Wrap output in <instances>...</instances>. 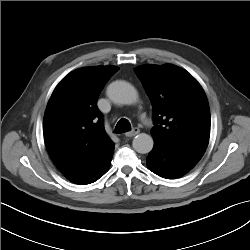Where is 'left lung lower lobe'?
Here are the masks:
<instances>
[{
	"instance_id": "0a47b994",
	"label": "left lung lower lobe",
	"mask_w": 250,
	"mask_h": 250,
	"mask_svg": "<svg viewBox=\"0 0 250 250\" xmlns=\"http://www.w3.org/2000/svg\"><path fill=\"white\" fill-rule=\"evenodd\" d=\"M204 152L199 149L170 147L154 141V147L147 157V167L160 177L175 179L192 169Z\"/></svg>"
}]
</instances>
